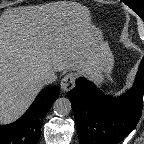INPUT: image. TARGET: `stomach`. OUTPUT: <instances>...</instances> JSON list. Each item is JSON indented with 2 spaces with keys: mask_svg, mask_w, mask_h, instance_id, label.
Returning a JSON list of instances; mask_svg holds the SVG:
<instances>
[{
  "mask_svg": "<svg viewBox=\"0 0 144 144\" xmlns=\"http://www.w3.org/2000/svg\"><path fill=\"white\" fill-rule=\"evenodd\" d=\"M97 37H96V72L98 74L109 73L114 64L113 54L108 46V43L104 40L102 32L96 28Z\"/></svg>",
  "mask_w": 144,
  "mask_h": 144,
  "instance_id": "obj_1",
  "label": "stomach"
}]
</instances>
